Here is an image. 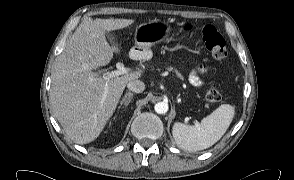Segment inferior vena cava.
Listing matches in <instances>:
<instances>
[{
	"label": "inferior vena cava",
	"mask_w": 294,
	"mask_h": 180,
	"mask_svg": "<svg viewBox=\"0 0 294 180\" xmlns=\"http://www.w3.org/2000/svg\"><path fill=\"white\" fill-rule=\"evenodd\" d=\"M127 88L135 93H142L145 90V84L141 80H132L127 83Z\"/></svg>",
	"instance_id": "inferior-vena-cava-1"
}]
</instances>
